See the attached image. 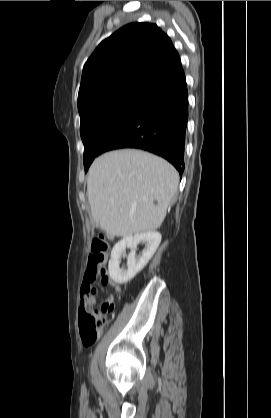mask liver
<instances>
[{
  "mask_svg": "<svg viewBox=\"0 0 271 418\" xmlns=\"http://www.w3.org/2000/svg\"><path fill=\"white\" fill-rule=\"evenodd\" d=\"M178 183V172L163 158L135 149L107 152L93 161L88 173L92 218L113 236L155 231Z\"/></svg>",
  "mask_w": 271,
  "mask_h": 418,
  "instance_id": "1",
  "label": "liver"
}]
</instances>
